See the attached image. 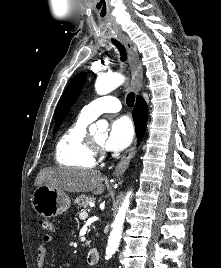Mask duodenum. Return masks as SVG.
Masks as SVG:
<instances>
[{"label":"duodenum","instance_id":"410a0bca","mask_svg":"<svg viewBox=\"0 0 221 268\" xmlns=\"http://www.w3.org/2000/svg\"><path fill=\"white\" fill-rule=\"evenodd\" d=\"M100 258V253L97 248H91L89 249L87 256H86V261L89 265H95L98 263Z\"/></svg>","mask_w":221,"mask_h":268}]
</instances>
